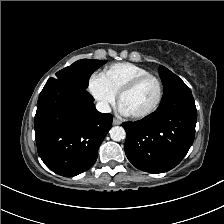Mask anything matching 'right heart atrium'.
Returning <instances> with one entry per match:
<instances>
[{
    "instance_id": "right-heart-atrium-1",
    "label": "right heart atrium",
    "mask_w": 224,
    "mask_h": 224,
    "mask_svg": "<svg viewBox=\"0 0 224 224\" xmlns=\"http://www.w3.org/2000/svg\"><path fill=\"white\" fill-rule=\"evenodd\" d=\"M88 90L102 110H108L115 102L116 94L107 86L100 75H92L89 78Z\"/></svg>"
}]
</instances>
